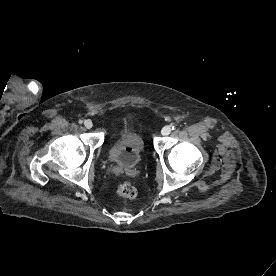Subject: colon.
Listing matches in <instances>:
<instances>
[{"label": "colon", "mask_w": 276, "mask_h": 276, "mask_svg": "<svg viewBox=\"0 0 276 276\" xmlns=\"http://www.w3.org/2000/svg\"><path fill=\"white\" fill-rule=\"evenodd\" d=\"M137 193L136 187L129 182H123L118 186V194L124 198L133 199Z\"/></svg>", "instance_id": "1"}]
</instances>
